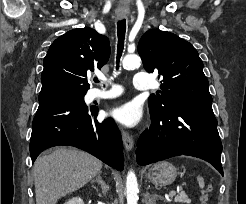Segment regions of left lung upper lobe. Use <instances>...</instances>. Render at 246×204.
Here are the masks:
<instances>
[{
	"instance_id": "5c2ea615",
	"label": "left lung upper lobe",
	"mask_w": 246,
	"mask_h": 204,
	"mask_svg": "<svg viewBox=\"0 0 246 204\" xmlns=\"http://www.w3.org/2000/svg\"><path fill=\"white\" fill-rule=\"evenodd\" d=\"M138 53L147 72L158 70L161 90L149 99L150 114L158 115L176 103H211L203 62L196 49L177 35L156 29L141 37Z\"/></svg>"
}]
</instances>
